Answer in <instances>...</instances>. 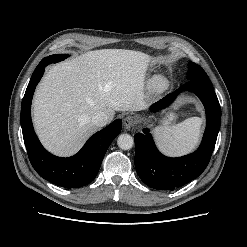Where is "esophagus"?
<instances>
[{
	"mask_svg": "<svg viewBox=\"0 0 247 247\" xmlns=\"http://www.w3.org/2000/svg\"><path fill=\"white\" fill-rule=\"evenodd\" d=\"M135 124H136V119H135V117H133V116H131V115H127V116L123 119V125H124L125 129H130V128H132Z\"/></svg>",
	"mask_w": 247,
	"mask_h": 247,
	"instance_id": "esophagus-1",
	"label": "esophagus"
}]
</instances>
